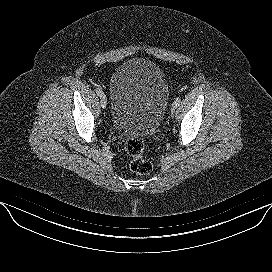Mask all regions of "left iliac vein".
Here are the masks:
<instances>
[{
    "mask_svg": "<svg viewBox=\"0 0 272 272\" xmlns=\"http://www.w3.org/2000/svg\"><path fill=\"white\" fill-rule=\"evenodd\" d=\"M176 108L174 105L171 106V115H174L176 113Z\"/></svg>",
    "mask_w": 272,
    "mask_h": 272,
    "instance_id": "left-iliac-vein-1",
    "label": "left iliac vein"
}]
</instances>
